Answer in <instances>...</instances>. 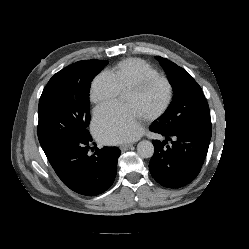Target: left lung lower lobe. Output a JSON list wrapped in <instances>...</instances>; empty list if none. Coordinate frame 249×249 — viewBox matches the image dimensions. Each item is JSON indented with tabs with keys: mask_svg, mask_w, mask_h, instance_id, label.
Segmentation results:
<instances>
[{
	"mask_svg": "<svg viewBox=\"0 0 249 249\" xmlns=\"http://www.w3.org/2000/svg\"><path fill=\"white\" fill-rule=\"evenodd\" d=\"M150 130L165 136L166 140L174 138L167 146V141L152 140L155 151L149 170L153 178L169 188H179L194 180L207 155L212 129L168 134L152 124Z\"/></svg>",
	"mask_w": 249,
	"mask_h": 249,
	"instance_id": "1",
	"label": "left lung lower lobe"
}]
</instances>
